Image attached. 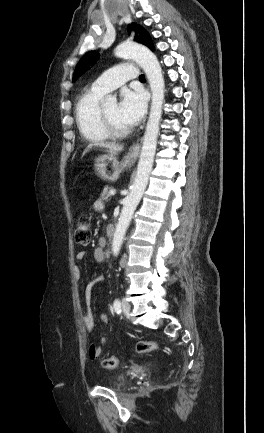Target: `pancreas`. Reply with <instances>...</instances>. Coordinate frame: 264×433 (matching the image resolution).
Returning a JSON list of instances; mask_svg holds the SVG:
<instances>
[{
	"label": "pancreas",
	"mask_w": 264,
	"mask_h": 433,
	"mask_svg": "<svg viewBox=\"0 0 264 433\" xmlns=\"http://www.w3.org/2000/svg\"><path fill=\"white\" fill-rule=\"evenodd\" d=\"M113 190V187L105 186L102 193H101V200L102 201H108L111 195L109 194V191Z\"/></svg>",
	"instance_id": "obj_1"
}]
</instances>
